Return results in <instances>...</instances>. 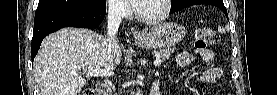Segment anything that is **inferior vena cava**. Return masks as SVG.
<instances>
[{"label":"inferior vena cava","mask_w":277,"mask_h":95,"mask_svg":"<svg viewBox=\"0 0 277 95\" xmlns=\"http://www.w3.org/2000/svg\"><path fill=\"white\" fill-rule=\"evenodd\" d=\"M123 15L122 6L119 4H112L109 6L108 10V23H107V48H108V55L111 59V70L115 69V64L113 62V58L119 49L118 42L115 38V35L118 32L119 25L121 23V18Z\"/></svg>","instance_id":"602c4592"}]
</instances>
